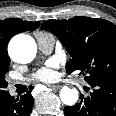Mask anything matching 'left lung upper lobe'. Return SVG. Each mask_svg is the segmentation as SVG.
Segmentation results:
<instances>
[{"label": "left lung upper lobe", "instance_id": "5c2ea615", "mask_svg": "<svg viewBox=\"0 0 116 116\" xmlns=\"http://www.w3.org/2000/svg\"><path fill=\"white\" fill-rule=\"evenodd\" d=\"M41 29L53 33L70 54L66 66L69 74L79 72L88 84L116 80V26L113 23L77 16L45 21Z\"/></svg>", "mask_w": 116, "mask_h": 116}]
</instances>
